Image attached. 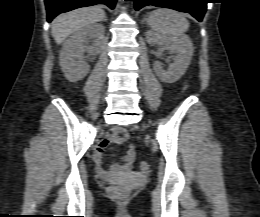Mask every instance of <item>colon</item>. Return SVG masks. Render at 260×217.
<instances>
[{"label":"colon","instance_id":"5ec220e1","mask_svg":"<svg viewBox=\"0 0 260 217\" xmlns=\"http://www.w3.org/2000/svg\"><path fill=\"white\" fill-rule=\"evenodd\" d=\"M140 169L144 172H148L150 170V164L148 162L143 161L140 163ZM109 192L121 201H124L127 197V191L121 185L112 186Z\"/></svg>","mask_w":260,"mask_h":217}]
</instances>
